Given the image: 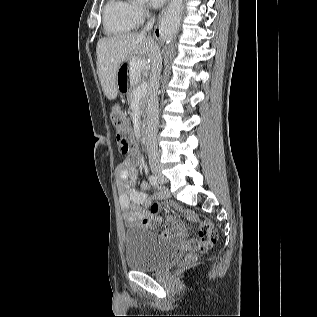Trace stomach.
Segmentation results:
<instances>
[{
  "label": "stomach",
  "instance_id": "stomach-1",
  "mask_svg": "<svg viewBox=\"0 0 317 317\" xmlns=\"http://www.w3.org/2000/svg\"><path fill=\"white\" fill-rule=\"evenodd\" d=\"M147 59H141L140 55H129L128 59H123L119 70L116 71L117 84L115 86L117 94H131L128 91L130 86H135V83H141Z\"/></svg>",
  "mask_w": 317,
  "mask_h": 317
}]
</instances>
